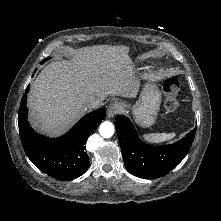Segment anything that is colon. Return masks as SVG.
I'll use <instances>...</instances> for the list:
<instances>
[{
    "label": "colon",
    "mask_w": 221,
    "mask_h": 221,
    "mask_svg": "<svg viewBox=\"0 0 221 221\" xmlns=\"http://www.w3.org/2000/svg\"><path fill=\"white\" fill-rule=\"evenodd\" d=\"M162 91L165 96L164 106L168 112H174L179 107L178 96L180 94V84L175 78H167L162 84Z\"/></svg>",
    "instance_id": "colon-1"
}]
</instances>
